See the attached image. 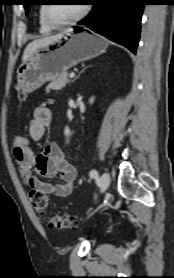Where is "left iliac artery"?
Returning <instances> with one entry per match:
<instances>
[{
	"label": "left iliac artery",
	"instance_id": "1",
	"mask_svg": "<svg viewBox=\"0 0 174 278\" xmlns=\"http://www.w3.org/2000/svg\"><path fill=\"white\" fill-rule=\"evenodd\" d=\"M90 177L91 178H97L98 177V172L96 170H91L90 171Z\"/></svg>",
	"mask_w": 174,
	"mask_h": 278
}]
</instances>
